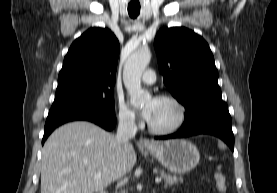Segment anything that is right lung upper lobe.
<instances>
[{
  "mask_svg": "<svg viewBox=\"0 0 277 193\" xmlns=\"http://www.w3.org/2000/svg\"><path fill=\"white\" fill-rule=\"evenodd\" d=\"M120 45L109 29L90 28L76 39L64 58L56 92L115 84Z\"/></svg>",
  "mask_w": 277,
  "mask_h": 193,
  "instance_id": "right-lung-upper-lobe-1",
  "label": "right lung upper lobe"
}]
</instances>
